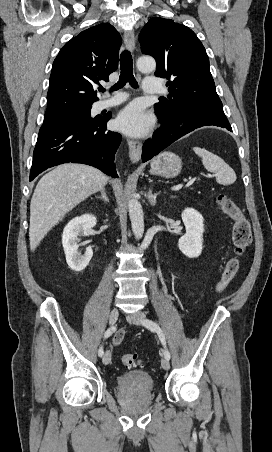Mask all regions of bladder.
<instances>
[{"label": "bladder", "mask_w": 272, "mask_h": 452, "mask_svg": "<svg viewBox=\"0 0 272 452\" xmlns=\"http://www.w3.org/2000/svg\"><path fill=\"white\" fill-rule=\"evenodd\" d=\"M117 386L120 389L151 392L154 389V379L148 372L142 370H130L118 377Z\"/></svg>", "instance_id": "31cf9c89"}]
</instances>
